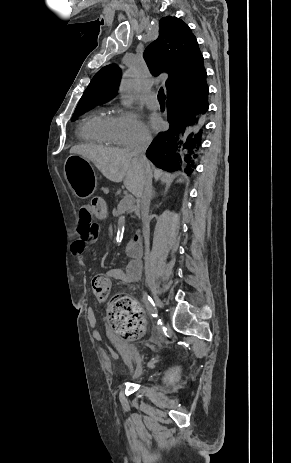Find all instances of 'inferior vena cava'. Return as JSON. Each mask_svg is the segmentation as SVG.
<instances>
[{
  "mask_svg": "<svg viewBox=\"0 0 291 463\" xmlns=\"http://www.w3.org/2000/svg\"><path fill=\"white\" fill-rule=\"evenodd\" d=\"M151 142V137L148 133L142 132L139 134L137 141L131 145L128 152L143 166L145 176L143 181V189L140 196V208L143 224V237L145 243V258L149 256L150 245V228H149V207L152 196V172L149 161L145 156V151Z\"/></svg>",
  "mask_w": 291,
  "mask_h": 463,
  "instance_id": "inferior-vena-cava-1",
  "label": "inferior vena cava"
}]
</instances>
